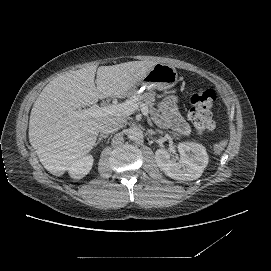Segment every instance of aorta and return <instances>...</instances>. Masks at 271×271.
Segmentation results:
<instances>
[{
    "instance_id": "762f6f07",
    "label": "aorta",
    "mask_w": 271,
    "mask_h": 271,
    "mask_svg": "<svg viewBox=\"0 0 271 271\" xmlns=\"http://www.w3.org/2000/svg\"><path fill=\"white\" fill-rule=\"evenodd\" d=\"M142 136L143 132L138 127H132L127 130V137L132 141L139 140Z\"/></svg>"
}]
</instances>
